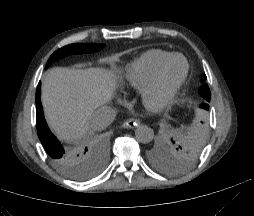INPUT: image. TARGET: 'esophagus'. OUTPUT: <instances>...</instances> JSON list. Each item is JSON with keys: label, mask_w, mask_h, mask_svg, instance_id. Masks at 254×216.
<instances>
[{"label": "esophagus", "mask_w": 254, "mask_h": 216, "mask_svg": "<svg viewBox=\"0 0 254 216\" xmlns=\"http://www.w3.org/2000/svg\"><path fill=\"white\" fill-rule=\"evenodd\" d=\"M140 124L139 120L134 118L127 119L123 124L122 127L126 129H133Z\"/></svg>", "instance_id": "34e87169"}]
</instances>
